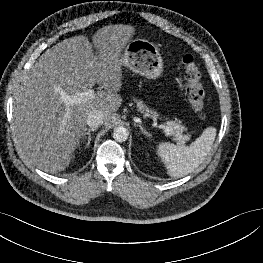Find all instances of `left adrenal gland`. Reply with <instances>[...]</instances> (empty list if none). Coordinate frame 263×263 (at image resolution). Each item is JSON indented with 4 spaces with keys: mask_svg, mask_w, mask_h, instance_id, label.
<instances>
[{
    "mask_svg": "<svg viewBox=\"0 0 263 263\" xmlns=\"http://www.w3.org/2000/svg\"><path fill=\"white\" fill-rule=\"evenodd\" d=\"M137 126L140 128V130H141V132H142L143 134H145V135L148 136V137L151 136V134L148 133V132L146 131V129L143 128V126H142L141 124H137Z\"/></svg>",
    "mask_w": 263,
    "mask_h": 263,
    "instance_id": "1",
    "label": "left adrenal gland"
}]
</instances>
